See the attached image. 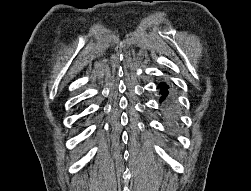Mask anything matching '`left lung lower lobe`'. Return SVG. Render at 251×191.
<instances>
[{"label": "left lung lower lobe", "mask_w": 251, "mask_h": 191, "mask_svg": "<svg viewBox=\"0 0 251 191\" xmlns=\"http://www.w3.org/2000/svg\"><path fill=\"white\" fill-rule=\"evenodd\" d=\"M158 88L160 89V94L162 95V97L160 98V102H162V101H164L165 100V98L167 97V95L169 94V91H168V89H169V86L168 85H166L165 83H160L159 85H158ZM167 109H168V112H169V114H173L172 113V98H168V101H167Z\"/></svg>", "instance_id": "1"}]
</instances>
